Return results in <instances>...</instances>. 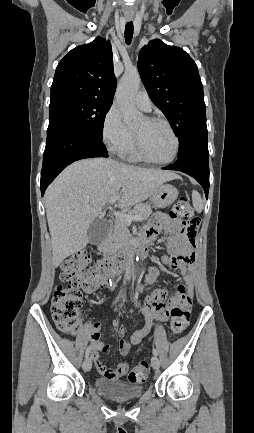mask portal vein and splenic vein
Listing matches in <instances>:
<instances>
[{"mask_svg": "<svg viewBox=\"0 0 254 433\" xmlns=\"http://www.w3.org/2000/svg\"><path fill=\"white\" fill-rule=\"evenodd\" d=\"M120 198L119 195L114 196L112 199H110L109 203L112 204L114 202H116L118 199ZM113 214L115 215L116 218L120 219L121 221L127 223V224H131L133 221H140L142 220V216L141 215H129L126 213H122L119 211H114Z\"/></svg>", "mask_w": 254, "mask_h": 433, "instance_id": "18ae733b", "label": "portal vein and splenic vein"}]
</instances>
